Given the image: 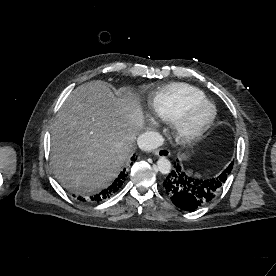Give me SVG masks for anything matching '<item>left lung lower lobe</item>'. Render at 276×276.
<instances>
[{
	"label": "left lung lower lobe",
	"mask_w": 276,
	"mask_h": 276,
	"mask_svg": "<svg viewBox=\"0 0 276 276\" xmlns=\"http://www.w3.org/2000/svg\"><path fill=\"white\" fill-rule=\"evenodd\" d=\"M232 167L233 162L219 176L201 180L186 170H181L179 163H177L164 180L163 189L177 207L194 210L216 197Z\"/></svg>",
	"instance_id": "obj_1"
}]
</instances>
